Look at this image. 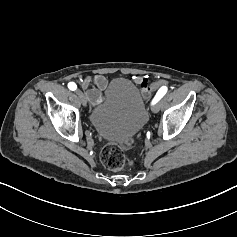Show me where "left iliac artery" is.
<instances>
[{
	"mask_svg": "<svg viewBox=\"0 0 237 237\" xmlns=\"http://www.w3.org/2000/svg\"><path fill=\"white\" fill-rule=\"evenodd\" d=\"M167 92V87L166 86H163L161 87L157 94L155 95L153 101H152V104H155L156 102H158Z\"/></svg>",
	"mask_w": 237,
	"mask_h": 237,
	"instance_id": "1",
	"label": "left iliac artery"
}]
</instances>
